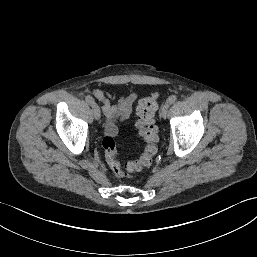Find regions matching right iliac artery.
I'll return each mask as SVG.
<instances>
[{
  "instance_id": "obj_1",
  "label": "right iliac artery",
  "mask_w": 257,
  "mask_h": 257,
  "mask_svg": "<svg viewBox=\"0 0 257 257\" xmlns=\"http://www.w3.org/2000/svg\"><path fill=\"white\" fill-rule=\"evenodd\" d=\"M85 100H86V102H87L88 104H90L91 106H93V105L95 104L94 99H93L92 96H90V95H87V96L85 97Z\"/></svg>"
}]
</instances>
